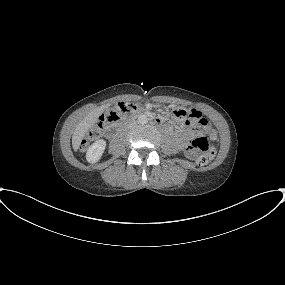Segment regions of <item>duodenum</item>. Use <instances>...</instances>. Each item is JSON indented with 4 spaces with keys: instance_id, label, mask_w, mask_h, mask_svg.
Instances as JSON below:
<instances>
[{
    "instance_id": "1",
    "label": "duodenum",
    "mask_w": 285,
    "mask_h": 285,
    "mask_svg": "<svg viewBox=\"0 0 285 285\" xmlns=\"http://www.w3.org/2000/svg\"><path fill=\"white\" fill-rule=\"evenodd\" d=\"M155 120H157V119H155ZM117 128H118V126L115 125V126L113 127V130H116Z\"/></svg>"
}]
</instances>
